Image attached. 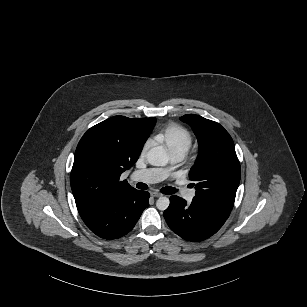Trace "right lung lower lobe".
<instances>
[{
	"instance_id": "98d812e1",
	"label": "right lung lower lobe",
	"mask_w": 307,
	"mask_h": 307,
	"mask_svg": "<svg viewBox=\"0 0 307 307\" xmlns=\"http://www.w3.org/2000/svg\"><path fill=\"white\" fill-rule=\"evenodd\" d=\"M149 193L136 189L118 194L80 213L88 228L104 239H117L135 226L148 206Z\"/></svg>"
}]
</instances>
